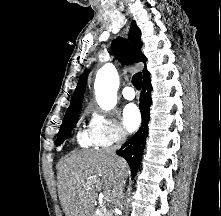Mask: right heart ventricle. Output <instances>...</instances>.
Instances as JSON below:
<instances>
[{"instance_id":"right-heart-ventricle-1","label":"right heart ventricle","mask_w":221,"mask_h":216,"mask_svg":"<svg viewBox=\"0 0 221 216\" xmlns=\"http://www.w3.org/2000/svg\"><path fill=\"white\" fill-rule=\"evenodd\" d=\"M77 142L79 143L80 146L82 147H90L94 146V143L92 142L90 136L86 131H80L77 134Z\"/></svg>"}]
</instances>
